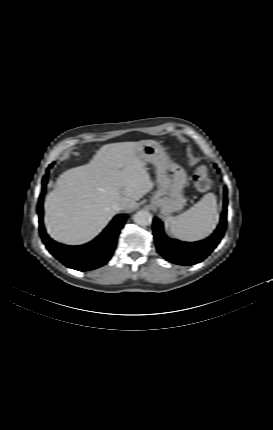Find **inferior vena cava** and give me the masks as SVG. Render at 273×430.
Wrapping results in <instances>:
<instances>
[{
	"mask_svg": "<svg viewBox=\"0 0 273 430\" xmlns=\"http://www.w3.org/2000/svg\"><path fill=\"white\" fill-rule=\"evenodd\" d=\"M125 207H126V202H125V201H119V202H116V203L113 205V209H114V211H116V212L121 211V210H124V209H125Z\"/></svg>",
	"mask_w": 273,
	"mask_h": 430,
	"instance_id": "1",
	"label": "inferior vena cava"
}]
</instances>
